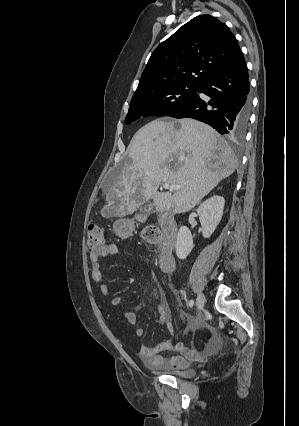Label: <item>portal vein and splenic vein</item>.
<instances>
[{
  "mask_svg": "<svg viewBox=\"0 0 299 426\" xmlns=\"http://www.w3.org/2000/svg\"><path fill=\"white\" fill-rule=\"evenodd\" d=\"M163 187L169 191H173V190H178L181 188V185H177V184H168V183H164Z\"/></svg>",
  "mask_w": 299,
  "mask_h": 426,
  "instance_id": "portal-vein-and-splenic-vein-1",
  "label": "portal vein and splenic vein"
}]
</instances>
